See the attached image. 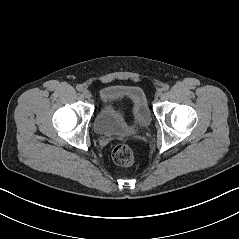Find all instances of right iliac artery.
Segmentation results:
<instances>
[{
	"label": "right iliac artery",
	"mask_w": 239,
	"mask_h": 239,
	"mask_svg": "<svg viewBox=\"0 0 239 239\" xmlns=\"http://www.w3.org/2000/svg\"><path fill=\"white\" fill-rule=\"evenodd\" d=\"M76 89H77L78 91H82V90H83V86H82V85H77V86H76Z\"/></svg>",
	"instance_id": "obj_1"
}]
</instances>
